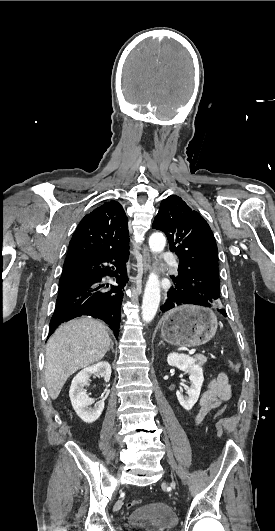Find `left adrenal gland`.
I'll return each mask as SVG.
<instances>
[{
  "label": "left adrenal gland",
  "instance_id": "1",
  "mask_svg": "<svg viewBox=\"0 0 275 531\" xmlns=\"http://www.w3.org/2000/svg\"><path fill=\"white\" fill-rule=\"evenodd\" d=\"M160 345H165V343H163V341H160L159 347H160Z\"/></svg>",
  "mask_w": 275,
  "mask_h": 531
}]
</instances>
